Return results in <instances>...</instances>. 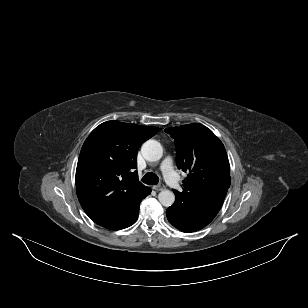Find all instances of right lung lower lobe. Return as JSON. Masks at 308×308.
<instances>
[{"label":"right lung lower lobe","mask_w":308,"mask_h":308,"mask_svg":"<svg viewBox=\"0 0 308 308\" xmlns=\"http://www.w3.org/2000/svg\"><path fill=\"white\" fill-rule=\"evenodd\" d=\"M150 192H151V189H149V190L147 191V194L145 195V197L148 196V195L150 194ZM145 197H144V198H145ZM139 205H140V203L137 205V208H136L135 213L132 215V217L129 219V221L125 224V226H124L123 228L129 227V226H131L133 223H135V221H136L137 218H138ZM123 228H121V229H123Z\"/></svg>","instance_id":"obj_1"}]
</instances>
